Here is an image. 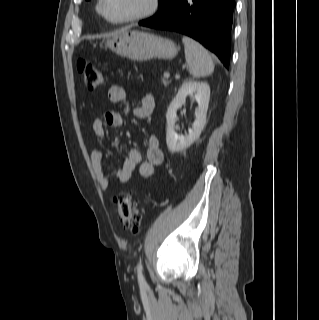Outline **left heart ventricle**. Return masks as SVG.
<instances>
[{
	"mask_svg": "<svg viewBox=\"0 0 319 320\" xmlns=\"http://www.w3.org/2000/svg\"><path fill=\"white\" fill-rule=\"evenodd\" d=\"M151 0H106L105 10L113 20H120L149 8Z\"/></svg>",
	"mask_w": 319,
	"mask_h": 320,
	"instance_id": "left-heart-ventricle-1",
	"label": "left heart ventricle"
}]
</instances>
